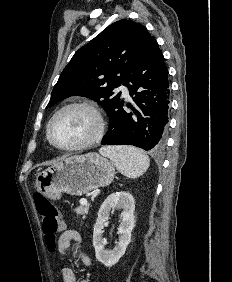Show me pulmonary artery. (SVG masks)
Returning a JSON list of instances; mask_svg holds the SVG:
<instances>
[{
	"label": "pulmonary artery",
	"mask_w": 232,
	"mask_h": 282,
	"mask_svg": "<svg viewBox=\"0 0 232 282\" xmlns=\"http://www.w3.org/2000/svg\"><path fill=\"white\" fill-rule=\"evenodd\" d=\"M117 90H118V91H121L122 94H123L125 97H127V96L129 95L128 89H127V87L124 86V85L119 86V87L117 88Z\"/></svg>",
	"instance_id": "e3ab8cb5"
}]
</instances>
